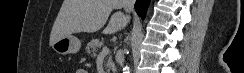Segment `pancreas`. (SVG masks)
Instances as JSON below:
<instances>
[{"mask_svg":"<svg viewBox=\"0 0 244 73\" xmlns=\"http://www.w3.org/2000/svg\"><path fill=\"white\" fill-rule=\"evenodd\" d=\"M102 45H103V43L100 42L98 39H93L91 42H89L87 44V46L85 48V52L88 55L95 57L98 49L101 48ZM113 65H114V63H113L112 57H109V59L107 60V63H106V68H111V67H113Z\"/></svg>","mask_w":244,"mask_h":73,"instance_id":"pancreas-1","label":"pancreas"}]
</instances>
